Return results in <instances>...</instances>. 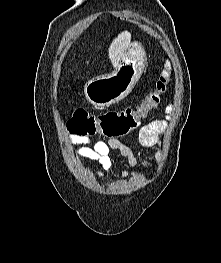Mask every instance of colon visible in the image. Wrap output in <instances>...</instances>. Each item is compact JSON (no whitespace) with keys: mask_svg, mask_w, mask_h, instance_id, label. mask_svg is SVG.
I'll use <instances>...</instances> for the list:
<instances>
[{"mask_svg":"<svg viewBox=\"0 0 221 263\" xmlns=\"http://www.w3.org/2000/svg\"><path fill=\"white\" fill-rule=\"evenodd\" d=\"M170 72L165 69L159 76L154 88L145 98L134 107L120 110H110L95 115L84 109H77L68 121L72 133L83 137L102 136L118 138L137 129L148 113L154 110L161 102L169 83Z\"/></svg>","mask_w":221,"mask_h":263,"instance_id":"5ec220e1","label":"colon"}]
</instances>
